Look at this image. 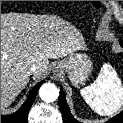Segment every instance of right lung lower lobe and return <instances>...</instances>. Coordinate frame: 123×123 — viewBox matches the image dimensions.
<instances>
[{"mask_svg":"<svg viewBox=\"0 0 123 123\" xmlns=\"http://www.w3.org/2000/svg\"><path fill=\"white\" fill-rule=\"evenodd\" d=\"M42 83H44V81L34 87L27 100L17 112L12 115H1V123H27L29 109L31 108V105Z\"/></svg>","mask_w":123,"mask_h":123,"instance_id":"98d812e1","label":"right lung lower lobe"}]
</instances>
